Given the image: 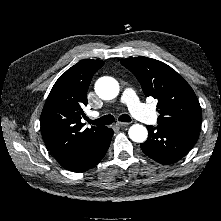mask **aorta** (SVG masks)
<instances>
[{
	"label": "aorta",
	"mask_w": 221,
	"mask_h": 221,
	"mask_svg": "<svg viewBox=\"0 0 221 221\" xmlns=\"http://www.w3.org/2000/svg\"><path fill=\"white\" fill-rule=\"evenodd\" d=\"M95 92L103 100L115 98L119 93V84L112 77H102L95 83ZM129 137L132 141L142 143L148 136L147 129L140 124H134L129 128Z\"/></svg>",
	"instance_id": "1"
}]
</instances>
